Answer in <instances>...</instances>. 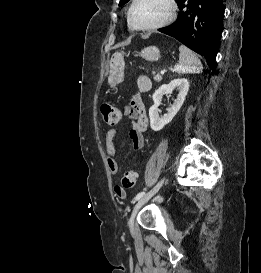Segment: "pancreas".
<instances>
[{
  "mask_svg": "<svg viewBox=\"0 0 261 273\" xmlns=\"http://www.w3.org/2000/svg\"><path fill=\"white\" fill-rule=\"evenodd\" d=\"M152 74L154 75L155 82H159L162 80V75H160L159 73H156L155 71H153Z\"/></svg>",
  "mask_w": 261,
  "mask_h": 273,
  "instance_id": "obj_1",
  "label": "pancreas"
}]
</instances>
